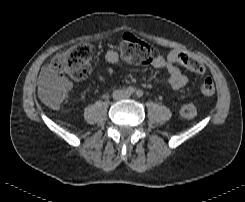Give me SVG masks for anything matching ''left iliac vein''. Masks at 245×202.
<instances>
[{
  "label": "left iliac vein",
  "mask_w": 245,
  "mask_h": 202,
  "mask_svg": "<svg viewBox=\"0 0 245 202\" xmlns=\"http://www.w3.org/2000/svg\"><path fill=\"white\" fill-rule=\"evenodd\" d=\"M126 96H127V97H129L130 95H129V94H127Z\"/></svg>",
  "instance_id": "1"
}]
</instances>
